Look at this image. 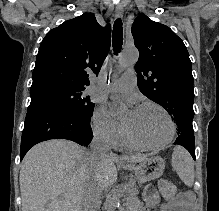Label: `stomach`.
Listing matches in <instances>:
<instances>
[{
  "mask_svg": "<svg viewBox=\"0 0 219 211\" xmlns=\"http://www.w3.org/2000/svg\"><path fill=\"white\" fill-rule=\"evenodd\" d=\"M125 169L133 170L137 180L145 183L159 178L165 169V161L160 156H148L137 164H127Z\"/></svg>",
  "mask_w": 219,
  "mask_h": 211,
  "instance_id": "0dacf381",
  "label": "stomach"
}]
</instances>
